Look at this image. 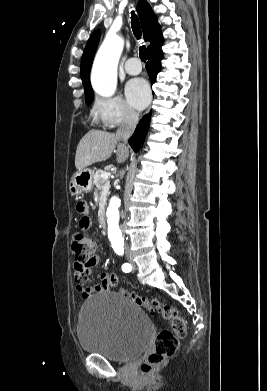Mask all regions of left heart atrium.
<instances>
[{"label":"left heart atrium","instance_id":"39dd6f15","mask_svg":"<svg viewBox=\"0 0 267 391\" xmlns=\"http://www.w3.org/2000/svg\"><path fill=\"white\" fill-rule=\"evenodd\" d=\"M125 94L129 103L139 110L143 109L150 99L148 84L142 78L130 80L125 87Z\"/></svg>","mask_w":267,"mask_h":391}]
</instances>
